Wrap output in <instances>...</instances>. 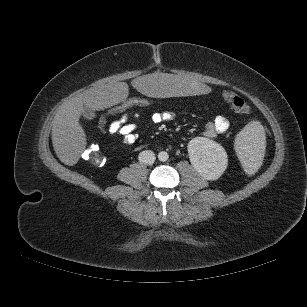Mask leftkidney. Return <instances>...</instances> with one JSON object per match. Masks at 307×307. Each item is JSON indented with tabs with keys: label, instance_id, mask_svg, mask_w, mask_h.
I'll return each instance as SVG.
<instances>
[{
	"label": "left kidney",
	"instance_id": "5707ae66",
	"mask_svg": "<svg viewBox=\"0 0 307 307\" xmlns=\"http://www.w3.org/2000/svg\"><path fill=\"white\" fill-rule=\"evenodd\" d=\"M188 154L194 169L207 180H217L228 165L225 149L206 137H195L188 143Z\"/></svg>",
	"mask_w": 307,
	"mask_h": 307
}]
</instances>
